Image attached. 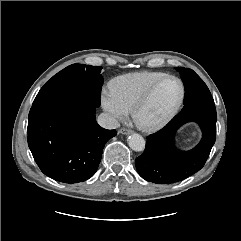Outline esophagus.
Returning <instances> with one entry per match:
<instances>
[{"instance_id":"1","label":"esophagus","mask_w":241,"mask_h":241,"mask_svg":"<svg viewBox=\"0 0 241 241\" xmlns=\"http://www.w3.org/2000/svg\"><path fill=\"white\" fill-rule=\"evenodd\" d=\"M119 133L124 134V135H128V134H131V133H132V130L127 129V128H121V129L119 130Z\"/></svg>"}]
</instances>
